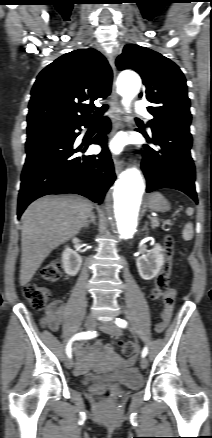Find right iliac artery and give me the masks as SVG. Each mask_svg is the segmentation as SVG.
Segmentation results:
<instances>
[{
	"label": "right iliac artery",
	"mask_w": 212,
	"mask_h": 438,
	"mask_svg": "<svg viewBox=\"0 0 212 438\" xmlns=\"http://www.w3.org/2000/svg\"><path fill=\"white\" fill-rule=\"evenodd\" d=\"M97 336V333L95 331L91 332V331H86V332H80L76 335H74L71 340L69 341V343L66 346V354L69 358L72 357V350H71V345L72 342L74 340H80V339H91Z\"/></svg>",
	"instance_id": "obj_1"
}]
</instances>
